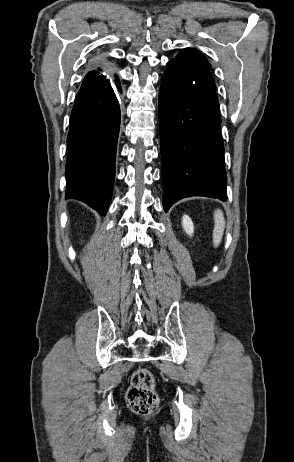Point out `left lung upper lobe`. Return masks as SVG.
Wrapping results in <instances>:
<instances>
[{
	"label": "left lung upper lobe",
	"mask_w": 294,
	"mask_h": 462,
	"mask_svg": "<svg viewBox=\"0 0 294 462\" xmlns=\"http://www.w3.org/2000/svg\"><path fill=\"white\" fill-rule=\"evenodd\" d=\"M177 59H181L186 62L194 63L202 67L209 68L210 64L207 59L201 55L197 50L186 48L182 50L177 56Z\"/></svg>",
	"instance_id": "5c2ea615"
}]
</instances>
